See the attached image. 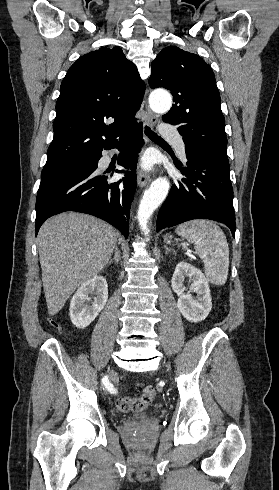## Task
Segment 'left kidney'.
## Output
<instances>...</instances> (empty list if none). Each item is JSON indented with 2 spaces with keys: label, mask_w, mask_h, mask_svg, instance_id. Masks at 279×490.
Listing matches in <instances>:
<instances>
[{
  "label": "left kidney",
  "mask_w": 279,
  "mask_h": 490,
  "mask_svg": "<svg viewBox=\"0 0 279 490\" xmlns=\"http://www.w3.org/2000/svg\"><path fill=\"white\" fill-rule=\"evenodd\" d=\"M185 278L192 282L189 292H185ZM171 286L173 292L179 296L177 308L183 318L188 322H202L207 318L211 312L212 298L209 284L201 270L187 262H179L172 276ZM191 292L197 294L196 298H193Z\"/></svg>",
  "instance_id": "obj_1"
}]
</instances>
